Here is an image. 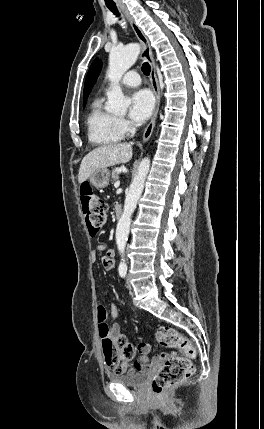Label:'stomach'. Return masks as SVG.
Instances as JSON below:
<instances>
[{
  "label": "stomach",
  "mask_w": 264,
  "mask_h": 429,
  "mask_svg": "<svg viewBox=\"0 0 264 429\" xmlns=\"http://www.w3.org/2000/svg\"><path fill=\"white\" fill-rule=\"evenodd\" d=\"M110 171L107 168H101L92 173L89 182L97 189L105 188L109 184Z\"/></svg>",
  "instance_id": "1"
}]
</instances>
